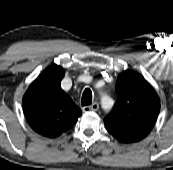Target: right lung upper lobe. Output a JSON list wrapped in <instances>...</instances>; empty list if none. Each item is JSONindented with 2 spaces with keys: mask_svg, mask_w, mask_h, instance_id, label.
<instances>
[{
  "mask_svg": "<svg viewBox=\"0 0 173 170\" xmlns=\"http://www.w3.org/2000/svg\"><path fill=\"white\" fill-rule=\"evenodd\" d=\"M64 70L56 64L47 67L29 86L23 97V111L31 128L54 138L69 130L82 112L62 90Z\"/></svg>",
  "mask_w": 173,
  "mask_h": 170,
  "instance_id": "obj_1",
  "label": "right lung upper lobe"
}]
</instances>
